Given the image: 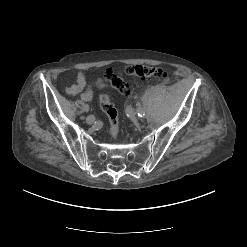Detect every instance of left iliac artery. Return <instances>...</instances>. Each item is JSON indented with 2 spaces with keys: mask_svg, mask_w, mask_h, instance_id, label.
Here are the masks:
<instances>
[{
  "mask_svg": "<svg viewBox=\"0 0 247 247\" xmlns=\"http://www.w3.org/2000/svg\"><path fill=\"white\" fill-rule=\"evenodd\" d=\"M137 114L139 117H143L145 115V111L141 108V106L137 107Z\"/></svg>",
  "mask_w": 247,
  "mask_h": 247,
  "instance_id": "44dca946",
  "label": "left iliac artery"
}]
</instances>
